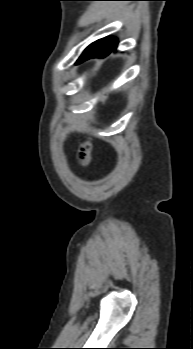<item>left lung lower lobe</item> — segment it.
I'll return each mask as SVG.
<instances>
[{"label":"left lung lower lobe","mask_w":193,"mask_h":349,"mask_svg":"<svg viewBox=\"0 0 193 349\" xmlns=\"http://www.w3.org/2000/svg\"><path fill=\"white\" fill-rule=\"evenodd\" d=\"M117 47V39L114 37H105L90 44L77 60L76 64L94 57H105Z\"/></svg>","instance_id":"1"}]
</instances>
